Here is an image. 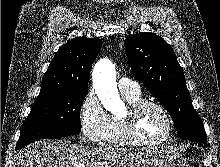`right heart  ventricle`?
I'll return each mask as SVG.
<instances>
[{"label":"right heart ventricle","instance_id":"e07e8e85","mask_svg":"<svg viewBox=\"0 0 220 167\" xmlns=\"http://www.w3.org/2000/svg\"><path fill=\"white\" fill-rule=\"evenodd\" d=\"M126 101L131 104L133 102L142 100L140 93H122ZM109 145H127L121 133V126L119 116L109 115V126L107 129L106 137L103 141Z\"/></svg>","mask_w":220,"mask_h":167}]
</instances>
